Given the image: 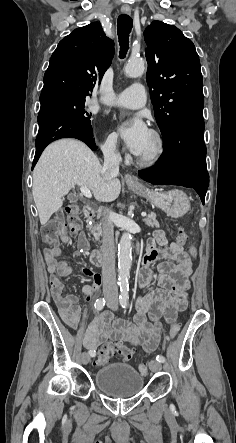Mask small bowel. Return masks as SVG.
I'll list each match as a JSON object with an SVG mask.
<instances>
[{
	"label": "small bowel",
	"mask_w": 236,
	"mask_h": 443,
	"mask_svg": "<svg viewBox=\"0 0 236 443\" xmlns=\"http://www.w3.org/2000/svg\"><path fill=\"white\" fill-rule=\"evenodd\" d=\"M64 243L69 242L68 236L62 237ZM88 243L84 234L78 238V250L74 252L75 259L80 260L86 254ZM60 249L48 248L44 259L49 275V284L60 315L66 324L77 329L80 320V298L77 295H64V283L61 279L72 273V268L66 261L59 260ZM164 258L159 267L158 281L160 287L137 299V313L132 323L115 320L109 311H104L88 325L84 333V345L91 351H96L103 341L112 340L128 344L132 348L142 347L146 352L154 351L159 341L162 328L161 319L173 323L177 313L187 306V292L190 287L189 277L192 274V263L183 247L172 242L168 245L162 230L154 232L153 239L146 243V254L143 265L138 273L140 288L149 285L156 275L152 270L153 263ZM82 273L93 280L92 285H84L82 291L86 297H93L101 290V277L91 268L83 267Z\"/></svg>",
	"instance_id": "small-bowel-1"
}]
</instances>
